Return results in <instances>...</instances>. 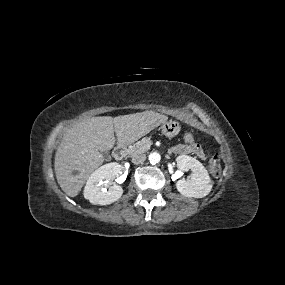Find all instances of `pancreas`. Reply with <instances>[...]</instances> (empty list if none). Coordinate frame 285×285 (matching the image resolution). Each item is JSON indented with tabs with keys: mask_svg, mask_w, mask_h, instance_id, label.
I'll return each mask as SVG.
<instances>
[{
	"mask_svg": "<svg viewBox=\"0 0 285 285\" xmlns=\"http://www.w3.org/2000/svg\"><path fill=\"white\" fill-rule=\"evenodd\" d=\"M151 144L150 138H143L142 140L136 142L128 149V154L134 156L135 154L144 153L149 150Z\"/></svg>",
	"mask_w": 285,
	"mask_h": 285,
	"instance_id": "1",
	"label": "pancreas"
}]
</instances>
